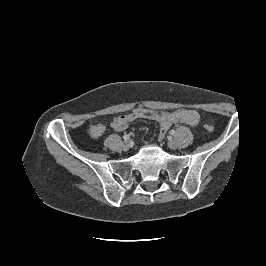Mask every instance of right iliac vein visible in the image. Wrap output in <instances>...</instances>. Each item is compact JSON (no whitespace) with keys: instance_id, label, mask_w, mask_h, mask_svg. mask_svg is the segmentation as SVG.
<instances>
[{"instance_id":"63e3f726","label":"right iliac vein","mask_w":266,"mask_h":266,"mask_svg":"<svg viewBox=\"0 0 266 266\" xmlns=\"http://www.w3.org/2000/svg\"><path fill=\"white\" fill-rule=\"evenodd\" d=\"M130 147H131V144H130L129 141L126 140V141H124V142L122 143V148H123V150L127 151V150L130 149Z\"/></svg>"}]
</instances>
